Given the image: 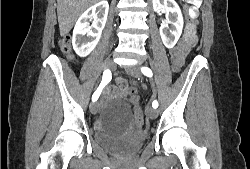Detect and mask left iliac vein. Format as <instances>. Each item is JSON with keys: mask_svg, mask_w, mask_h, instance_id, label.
Segmentation results:
<instances>
[{"mask_svg": "<svg viewBox=\"0 0 250 169\" xmlns=\"http://www.w3.org/2000/svg\"><path fill=\"white\" fill-rule=\"evenodd\" d=\"M127 72L134 78H140L142 76L140 69L137 65L130 67ZM147 114L150 119H155L157 117V110L155 108H147Z\"/></svg>", "mask_w": 250, "mask_h": 169, "instance_id": "left-iliac-vein-1", "label": "left iliac vein"}]
</instances>
